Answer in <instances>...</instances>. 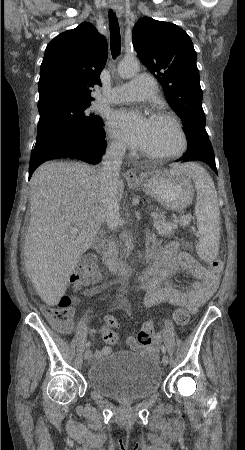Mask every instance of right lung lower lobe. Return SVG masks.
Here are the masks:
<instances>
[{"label":"right lung lower lobe","mask_w":245,"mask_h":450,"mask_svg":"<svg viewBox=\"0 0 245 450\" xmlns=\"http://www.w3.org/2000/svg\"><path fill=\"white\" fill-rule=\"evenodd\" d=\"M106 148L103 128L96 142L65 144L43 152H32L29 164V179L34 170L43 162L60 157H70L83 160L91 164L100 162Z\"/></svg>","instance_id":"1"}]
</instances>
